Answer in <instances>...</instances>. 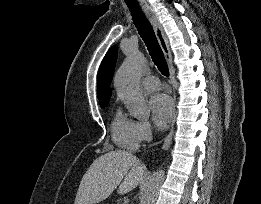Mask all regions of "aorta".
Wrapping results in <instances>:
<instances>
[{"mask_svg":"<svg viewBox=\"0 0 261 204\" xmlns=\"http://www.w3.org/2000/svg\"><path fill=\"white\" fill-rule=\"evenodd\" d=\"M146 64L145 56L139 51H134L124 61L115 76L117 94L124 101L130 115L135 118H147L150 115L148 101L139 85ZM164 178L163 170L153 173L141 196L140 204H155Z\"/></svg>","mask_w":261,"mask_h":204,"instance_id":"762f6f07","label":"aorta"}]
</instances>
